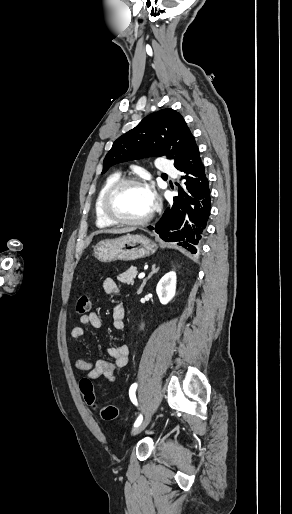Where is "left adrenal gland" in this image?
I'll return each instance as SVG.
<instances>
[{
  "label": "left adrenal gland",
  "mask_w": 292,
  "mask_h": 514,
  "mask_svg": "<svg viewBox=\"0 0 292 514\" xmlns=\"http://www.w3.org/2000/svg\"><path fill=\"white\" fill-rule=\"evenodd\" d=\"M158 270H159V268H156V264H153V266H152V272H150V274H149L148 278H145V280H143V284H141V286H140V288H139V290H138V294H141V292H142V290H143L144 286H146V282H147V280H149V278H151V276H153V274H157Z\"/></svg>",
  "instance_id": "a2214340"
}]
</instances>
